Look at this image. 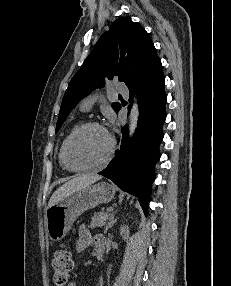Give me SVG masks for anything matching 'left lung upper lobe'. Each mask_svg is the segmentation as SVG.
I'll return each instance as SVG.
<instances>
[{"label": "left lung upper lobe", "instance_id": "left-lung-upper-lobe-1", "mask_svg": "<svg viewBox=\"0 0 231 286\" xmlns=\"http://www.w3.org/2000/svg\"><path fill=\"white\" fill-rule=\"evenodd\" d=\"M158 55L149 34L129 16L117 19L105 32L68 85L62 101L56 132L77 105L106 80L117 76L127 86L156 59ZM116 112L121 108L113 103Z\"/></svg>", "mask_w": 231, "mask_h": 286}]
</instances>
